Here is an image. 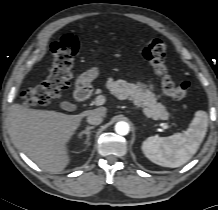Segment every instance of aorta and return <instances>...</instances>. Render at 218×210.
I'll return each mask as SVG.
<instances>
[{
	"label": "aorta",
	"mask_w": 218,
	"mask_h": 210,
	"mask_svg": "<svg viewBox=\"0 0 218 210\" xmlns=\"http://www.w3.org/2000/svg\"><path fill=\"white\" fill-rule=\"evenodd\" d=\"M115 131L119 135H127L129 133V125L124 121L117 122L115 125Z\"/></svg>",
	"instance_id": "762f6f07"
}]
</instances>
